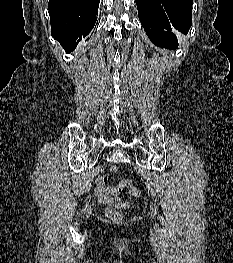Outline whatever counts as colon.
<instances>
[{
	"label": "colon",
	"instance_id": "colon-1",
	"mask_svg": "<svg viewBox=\"0 0 233 263\" xmlns=\"http://www.w3.org/2000/svg\"><path fill=\"white\" fill-rule=\"evenodd\" d=\"M110 170L112 173H116L118 171V168L116 166H111ZM119 189H126L131 195L135 196V197H139L141 196V191L136 188L133 183L128 180V179H123L120 181L119 185H118ZM127 204L124 203V206H126ZM106 214L107 216L116 221V222H120L123 219V215L122 213L118 210V208H114V207H108L106 210Z\"/></svg>",
	"mask_w": 233,
	"mask_h": 263
}]
</instances>
